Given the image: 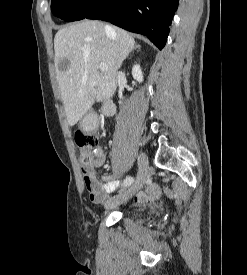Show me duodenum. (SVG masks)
I'll use <instances>...</instances> for the list:
<instances>
[{"label":"duodenum","mask_w":247,"mask_h":275,"mask_svg":"<svg viewBox=\"0 0 247 275\" xmlns=\"http://www.w3.org/2000/svg\"><path fill=\"white\" fill-rule=\"evenodd\" d=\"M115 111V104L112 100L107 99L102 107V115L104 116H110Z\"/></svg>","instance_id":"duodenum-1"}]
</instances>
